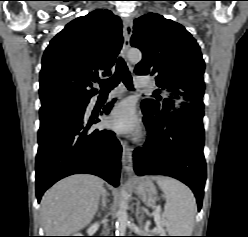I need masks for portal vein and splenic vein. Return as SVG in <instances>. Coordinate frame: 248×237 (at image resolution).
<instances>
[{
  "label": "portal vein and splenic vein",
  "instance_id": "18ae733b",
  "mask_svg": "<svg viewBox=\"0 0 248 237\" xmlns=\"http://www.w3.org/2000/svg\"><path fill=\"white\" fill-rule=\"evenodd\" d=\"M155 223L158 227V229L161 228V225H162V220H161V217H160V207L157 208L156 212H155Z\"/></svg>",
  "mask_w": 248,
  "mask_h": 237
}]
</instances>
